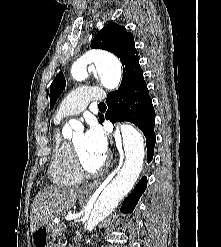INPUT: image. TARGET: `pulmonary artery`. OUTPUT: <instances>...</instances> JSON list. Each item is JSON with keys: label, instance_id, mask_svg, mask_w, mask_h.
Instances as JSON below:
<instances>
[{"label": "pulmonary artery", "instance_id": "1", "mask_svg": "<svg viewBox=\"0 0 221 247\" xmlns=\"http://www.w3.org/2000/svg\"><path fill=\"white\" fill-rule=\"evenodd\" d=\"M105 97L106 93L99 88L82 86L73 90L61 102L55 116L56 122L81 113L91 101Z\"/></svg>", "mask_w": 221, "mask_h": 247}]
</instances>
